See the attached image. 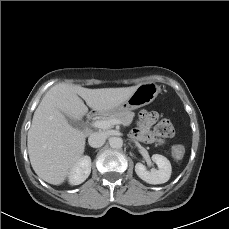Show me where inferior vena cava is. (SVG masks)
Returning a JSON list of instances; mask_svg holds the SVG:
<instances>
[{
	"label": "inferior vena cava",
	"mask_w": 229,
	"mask_h": 229,
	"mask_svg": "<svg viewBox=\"0 0 229 229\" xmlns=\"http://www.w3.org/2000/svg\"><path fill=\"white\" fill-rule=\"evenodd\" d=\"M105 136L102 133L94 132L88 138V143L93 148L101 147L105 143Z\"/></svg>",
	"instance_id": "inferior-vena-cava-1"
}]
</instances>
